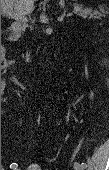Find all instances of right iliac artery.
<instances>
[{"label":"right iliac artery","mask_w":109,"mask_h":170,"mask_svg":"<svg viewBox=\"0 0 109 170\" xmlns=\"http://www.w3.org/2000/svg\"><path fill=\"white\" fill-rule=\"evenodd\" d=\"M17 167H18V164H17V163H12V164L10 165V168H11L12 170H16Z\"/></svg>","instance_id":"obj_1"}]
</instances>
